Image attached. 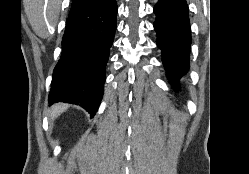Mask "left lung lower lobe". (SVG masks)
Here are the masks:
<instances>
[{
	"label": "left lung lower lobe",
	"mask_w": 249,
	"mask_h": 174,
	"mask_svg": "<svg viewBox=\"0 0 249 174\" xmlns=\"http://www.w3.org/2000/svg\"><path fill=\"white\" fill-rule=\"evenodd\" d=\"M157 46L167 77L174 87L189 69L191 44L189 10L186 0H158L154 7Z\"/></svg>",
	"instance_id": "0a47b994"
}]
</instances>
